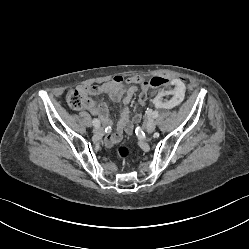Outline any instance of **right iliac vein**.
Returning a JSON list of instances; mask_svg holds the SVG:
<instances>
[{"instance_id":"right-iliac-vein-1","label":"right iliac vein","mask_w":249,"mask_h":249,"mask_svg":"<svg viewBox=\"0 0 249 249\" xmlns=\"http://www.w3.org/2000/svg\"><path fill=\"white\" fill-rule=\"evenodd\" d=\"M93 132L96 136H101L103 134V130L100 127H95Z\"/></svg>"}]
</instances>
